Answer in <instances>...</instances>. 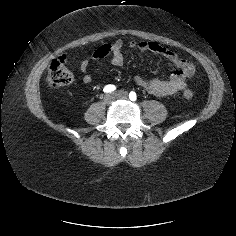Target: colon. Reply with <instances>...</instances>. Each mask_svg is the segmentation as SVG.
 Segmentation results:
<instances>
[{"mask_svg": "<svg viewBox=\"0 0 236 236\" xmlns=\"http://www.w3.org/2000/svg\"><path fill=\"white\" fill-rule=\"evenodd\" d=\"M73 81V73L67 66V56L62 55L54 59L49 65L47 72V83L52 88L67 86ZM186 99H192L193 93L191 90L184 92Z\"/></svg>", "mask_w": 236, "mask_h": 236, "instance_id": "5ec220e1", "label": "colon"}]
</instances>
